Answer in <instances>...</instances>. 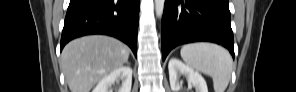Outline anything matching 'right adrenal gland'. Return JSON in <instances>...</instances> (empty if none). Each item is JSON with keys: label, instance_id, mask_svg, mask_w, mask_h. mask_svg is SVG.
Returning a JSON list of instances; mask_svg holds the SVG:
<instances>
[{"label": "right adrenal gland", "instance_id": "obj_1", "mask_svg": "<svg viewBox=\"0 0 296 92\" xmlns=\"http://www.w3.org/2000/svg\"><path fill=\"white\" fill-rule=\"evenodd\" d=\"M126 64H127V65H130L128 61L126 62Z\"/></svg>", "mask_w": 296, "mask_h": 92}]
</instances>
